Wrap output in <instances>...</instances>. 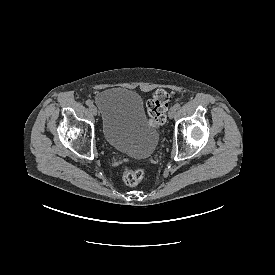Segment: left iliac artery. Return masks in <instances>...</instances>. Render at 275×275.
Listing matches in <instances>:
<instances>
[{
  "label": "left iliac artery",
  "mask_w": 275,
  "mask_h": 275,
  "mask_svg": "<svg viewBox=\"0 0 275 275\" xmlns=\"http://www.w3.org/2000/svg\"><path fill=\"white\" fill-rule=\"evenodd\" d=\"M173 107L177 110V109L180 108V104H179V103H176Z\"/></svg>",
  "instance_id": "1"
}]
</instances>
